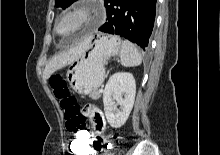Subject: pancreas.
<instances>
[{
    "instance_id": "1",
    "label": "pancreas",
    "mask_w": 220,
    "mask_h": 155,
    "mask_svg": "<svg viewBox=\"0 0 220 155\" xmlns=\"http://www.w3.org/2000/svg\"><path fill=\"white\" fill-rule=\"evenodd\" d=\"M93 100H98L101 97V92L97 91L93 95L90 96Z\"/></svg>"
}]
</instances>
